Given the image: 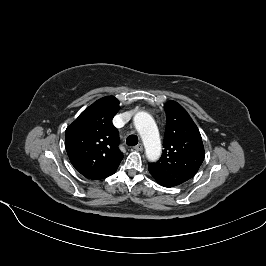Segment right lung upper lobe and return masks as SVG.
<instances>
[{"mask_svg": "<svg viewBox=\"0 0 266 266\" xmlns=\"http://www.w3.org/2000/svg\"><path fill=\"white\" fill-rule=\"evenodd\" d=\"M119 108L115 97H103L85 109L66 129L68 157L75 169L88 179L111 176L123 159L118 148L119 133L112 123Z\"/></svg>", "mask_w": 266, "mask_h": 266, "instance_id": "cb5924a9", "label": "right lung upper lobe"}]
</instances>
